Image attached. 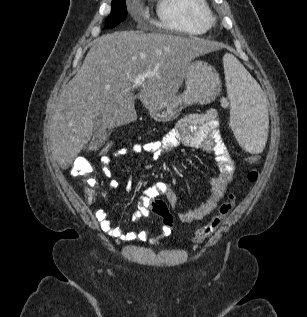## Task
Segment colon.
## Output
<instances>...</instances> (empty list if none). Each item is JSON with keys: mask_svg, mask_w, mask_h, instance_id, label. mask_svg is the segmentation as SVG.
<instances>
[{"mask_svg": "<svg viewBox=\"0 0 307 317\" xmlns=\"http://www.w3.org/2000/svg\"><path fill=\"white\" fill-rule=\"evenodd\" d=\"M120 149L121 148H117L113 143L108 142L100 148V155H112ZM260 161L261 158L258 156H249L245 158V163L248 165H257ZM93 172V167L86 158H78L73 164L72 175L76 178H81L88 183L94 182L92 178ZM258 177L259 171L257 169H251L248 172L247 178L250 182H255ZM85 194L87 199L90 201L94 200L96 197V192L91 186L86 189ZM235 200L236 198L233 194L229 195L227 200L219 206L217 213L211 218V220L195 232L192 241L194 243H201L212 236L233 210ZM151 207L153 212L162 219L165 227H173L175 220L165 201L162 199H154L151 201Z\"/></svg>", "mask_w": 307, "mask_h": 317, "instance_id": "obj_1", "label": "colon"}]
</instances>
